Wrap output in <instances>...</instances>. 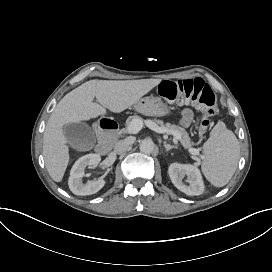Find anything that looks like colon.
Wrapping results in <instances>:
<instances>
[{"mask_svg":"<svg viewBox=\"0 0 272 272\" xmlns=\"http://www.w3.org/2000/svg\"><path fill=\"white\" fill-rule=\"evenodd\" d=\"M159 96L169 102L191 103L204 107L200 122V133L204 134L211 125V118L218 113L216 94L202 78L163 81L159 86Z\"/></svg>","mask_w":272,"mask_h":272,"instance_id":"1","label":"colon"}]
</instances>
